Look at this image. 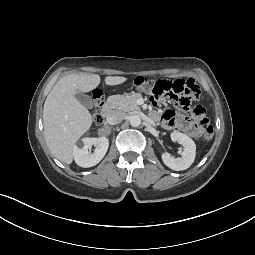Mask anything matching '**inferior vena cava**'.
<instances>
[{
    "label": "inferior vena cava",
    "mask_w": 255,
    "mask_h": 255,
    "mask_svg": "<svg viewBox=\"0 0 255 255\" xmlns=\"http://www.w3.org/2000/svg\"><path fill=\"white\" fill-rule=\"evenodd\" d=\"M125 118V113L122 111H113L107 116V123L110 125H116L122 122Z\"/></svg>",
    "instance_id": "602c4592"
}]
</instances>
